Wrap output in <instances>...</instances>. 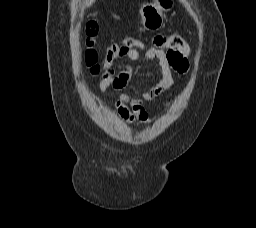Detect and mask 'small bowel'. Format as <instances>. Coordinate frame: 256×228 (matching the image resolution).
Listing matches in <instances>:
<instances>
[{"label": "small bowel", "mask_w": 256, "mask_h": 228, "mask_svg": "<svg viewBox=\"0 0 256 228\" xmlns=\"http://www.w3.org/2000/svg\"><path fill=\"white\" fill-rule=\"evenodd\" d=\"M123 58L137 61L140 59V52L137 48H128L124 50L118 60L114 63H104V70L99 89L104 92L108 88L119 90L131 83L134 79L132 69L124 68L116 73L114 66ZM144 59L146 61L156 59L159 63L162 77L153 87L142 92L139 98H130L121 95L117 102L116 108L119 115L127 122H147L149 117L145 110V103L150 102L161 94L169 90L174 84L173 72L184 73L188 69V60L178 51L171 49L168 45V37L157 36L153 45L146 51Z\"/></svg>", "instance_id": "obj_1"}]
</instances>
